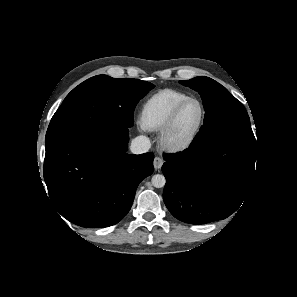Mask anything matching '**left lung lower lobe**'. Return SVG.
Segmentation results:
<instances>
[{
	"instance_id": "obj_1",
	"label": "left lung lower lobe",
	"mask_w": 297,
	"mask_h": 297,
	"mask_svg": "<svg viewBox=\"0 0 297 297\" xmlns=\"http://www.w3.org/2000/svg\"><path fill=\"white\" fill-rule=\"evenodd\" d=\"M164 159L163 200L168 210L183 222L206 224L227 218L246 200L255 174L256 147L218 138L191 144Z\"/></svg>"
}]
</instances>
